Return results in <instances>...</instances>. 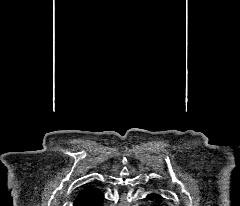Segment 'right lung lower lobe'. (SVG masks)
<instances>
[{
  "instance_id": "obj_1",
  "label": "right lung lower lobe",
  "mask_w": 240,
  "mask_h": 206,
  "mask_svg": "<svg viewBox=\"0 0 240 206\" xmlns=\"http://www.w3.org/2000/svg\"><path fill=\"white\" fill-rule=\"evenodd\" d=\"M103 200V193L98 188H94L87 194L77 196L73 206H103Z\"/></svg>"
}]
</instances>
